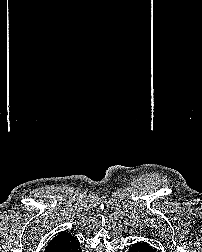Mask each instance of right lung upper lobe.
Masks as SVG:
<instances>
[{"instance_id":"right-lung-upper-lobe-1","label":"right lung upper lobe","mask_w":202,"mask_h":252,"mask_svg":"<svg viewBox=\"0 0 202 252\" xmlns=\"http://www.w3.org/2000/svg\"><path fill=\"white\" fill-rule=\"evenodd\" d=\"M79 241L66 231L60 232L47 245L44 252H70Z\"/></svg>"}]
</instances>
